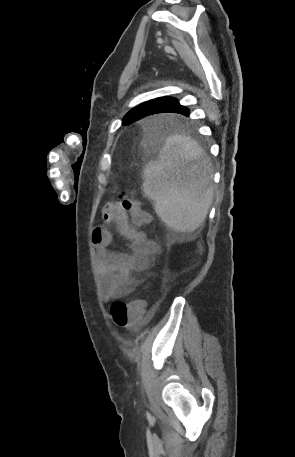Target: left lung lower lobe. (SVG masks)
<instances>
[{"label":"left lung lower lobe","mask_w":295,"mask_h":457,"mask_svg":"<svg viewBox=\"0 0 295 457\" xmlns=\"http://www.w3.org/2000/svg\"><path fill=\"white\" fill-rule=\"evenodd\" d=\"M165 112L178 113L185 116L189 115V110L186 107L181 106L177 99L170 97L156 105L150 115Z\"/></svg>","instance_id":"1"}]
</instances>
